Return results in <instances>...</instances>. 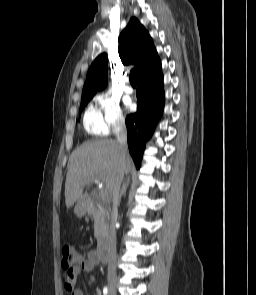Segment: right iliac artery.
<instances>
[{
	"instance_id": "82829eb1",
	"label": "right iliac artery",
	"mask_w": 256,
	"mask_h": 295,
	"mask_svg": "<svg viewBox=\"0 0 256 295\" xmlns=\"http://www.w3.org/2000/svg\"><path fill=\"white\" fill-rule=\"evenodd\" d=\"M107 293H108V289H107V287H104V289H103V294H104V295H107Z\"/></svg>"
}]
</instances>
